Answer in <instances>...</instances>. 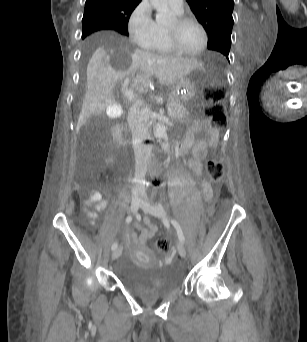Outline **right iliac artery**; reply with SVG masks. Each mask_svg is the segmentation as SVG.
Wrapping results in <instances>:
<instances>
[{
	"mask_svg": "<svg viewBox=\"0 0 307 342\" xmlns=\"http://www.w3.org/2000/svg\"><path fill=\"white\" fill-rule=\"evenodd\" d=\"M131 221H132V216H131V215L127 216L126 222H127V223H130ZM117 247H118V244H117L116 242L113 243V245H112V250L117 249Z\"/></svg>",
	"mask_w": 307,
	"mask_h": 342,
	"instance_id": "obj_1",
	"label": "right iliac artery"
}]
</instances>
